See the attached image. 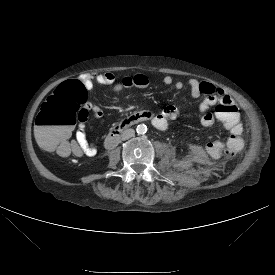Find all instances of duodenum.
<instances>
[{
  "label": "duodenum",
  "mask_w": 275,
  "mask_h": 275,
  "mask_svg": "<svg viewBox=\"0 0 275 275\" xmlns=\"http://www.w3.org/2000/svg\"><path fill=\"white\" fill-rule=\"evenodd\" d=\"M142 121H147L145 117V112L136 113L115 124L108 136L106 137L104 141V146L107 149L114 148L119 143L121 133L124 129Z\"/></svg>",
  "instance_id": "duodenum-1"
}]
</instances>
